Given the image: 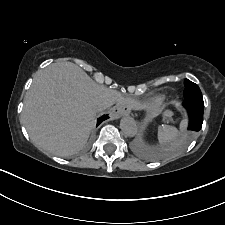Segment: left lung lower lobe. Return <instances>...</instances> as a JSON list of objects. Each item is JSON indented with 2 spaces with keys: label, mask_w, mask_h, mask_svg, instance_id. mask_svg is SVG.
Segmentation results:
<instances>
[{
  "label": "left lung lower lobe",
  "mask_w": 225,
  "mask_h": 225,
  "mask_svg": "<svg viewBox=\"0 0 225 225\" xmlns=\"http://www.w3.org/2000/svg\"><path fill=\"white\" fill-rule=\"evenodd\" d=\"M183 106L187 110L189 115L188 129L192 132L199 131L203 123V111H204L203 100L184 101Z\"/></svg>",
  "instance_id": "left-lung-lower-lobe-1"
}]
</instances>
